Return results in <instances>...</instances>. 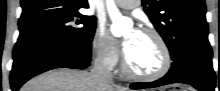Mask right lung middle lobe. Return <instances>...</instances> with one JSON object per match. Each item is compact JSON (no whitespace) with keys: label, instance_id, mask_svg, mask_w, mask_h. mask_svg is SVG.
Wrapping results in <instances>:
<instances>
[{"label":"right lung middle lobe","instance_id":"right-lung-middle-lobe-1","mask_svg":"<svg viewBox=\"0 0 220 91\" xmlns=\"http://www.w3.org/2000/svg\"><path fill=\"white\" fill-rule=\"evenodd\" d=\"M96 29V18L78 11L48 15L19 24L20 33L43 32L79 46L91 44Z\"/></svg>","mask_w":220,"mask_h":91}]
</instances>
